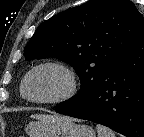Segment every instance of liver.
Returning <instances> with one entry per match:
<instances>
[{
	"mask_svg": "<svg viewBox=\"0 0 144 137\" xmlns=\"http://www.w3.org/2000/svg\"><path fill=\"white\" fill-rule=\"evenodd\" d=\"M57 117H60V116H58V115H45V114L31 115V118L39 120V121L50 120V119L57 118Z\"/></svg>",
	"mask_w": 144,
	"mask_h": 137,
	"instance_id": "1",
	"label": "liver"
}]
</instances>
